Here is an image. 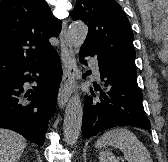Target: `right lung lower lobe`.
I'll return each instance as SVG.
<instances>
[{
  "mask_svg": "<svg viewBox=\"0 0 168 162\" xmlns=\"http://www.w3.org/2000/svg\"><path fill=\"white\" fill-rule=\"evenodd\" d=\"M61 77L60 60L54 51L46 60L0 78V128L16 131L43 145L48 120L55 111ZM31 81H36L37 86L25 92L24 82Z\"/></svg>",
  "mask_w": 168,
  "mask_h": 162,
  "instance_id": "obj_1",
  "label": "right lung lower lobe"
}]
</instances>
